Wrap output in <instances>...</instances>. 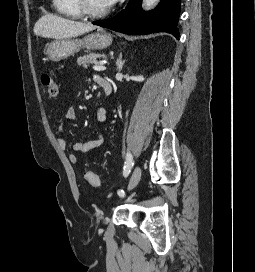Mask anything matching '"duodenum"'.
I'll return each mask as SVG.
<instances>
[{"instance_id": "1", "label": "duodenum", "mask_w": 255, "mask_h": 272, "mask_svg": "<svg viewBox=\"0 0 255 272\" xmlns=\"http://www.w3.org/2000/svg\"><path fill=\"white\" fill-rule=\"evenodd\" d=\"M97 83L106 95H109L111 93L112 88L108 79H106L105 77H100Z\"/></svg>"}]
</instances>
